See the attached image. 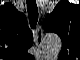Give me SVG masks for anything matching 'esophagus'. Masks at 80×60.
Returning <instances> with one entry per match:
<instances>
[{
    "label": "esophagus",
    "mask_w": 80,
    "mask_h": 60,
    "mask_svg": "<svg viewBox=\"0 0 80 60\" xmlns=\"http://www.w3.org/2000/svg\"><path fill=\"white\" fill-rule=\"evenodd\" d=\"M36 46H37L38 56L44 57L45 52L43 49V33L40 25H37L36 28Z\"/></svg>",
    "instance_id": "1"
}]
</instances>
